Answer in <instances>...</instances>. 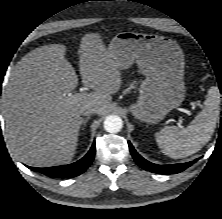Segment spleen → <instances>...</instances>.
Segmentation results:
<instances>
[{
    "instance_id": "spleen-1",
    "label": "spleen",
    "mask_w": 222,
    "mask_h": 219,
    "mask_svg": "<svg viewBox=\"0 0 222 219\" xmlns=\"http://www.w3.org/2000/svg\"><path fill=\"white\" fill-rule=\"evenodd\" d=\"M220 114V93L217 87L208 90L204 109L185 129L167 126L155 134L162 152L167 156L179 159L190 156L210 140Z\"/></svg>"
}]
</instances>
